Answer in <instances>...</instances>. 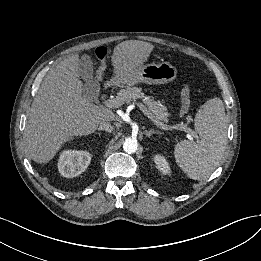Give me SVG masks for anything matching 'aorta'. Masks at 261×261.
<instances>
[{
  "label": "aorta",
  "mask_w": 261,
  "mask_h": 261,
  "mask_svg": "<svg viewBox=\"0 0 261 261\" xmlns=\"http://www.w3.org/2000/svg\"><path fill=\"white\" fill-rule=\"evenodd\" d=\"M138 143L133 138H127L123 143V149L126 153L131 154L137 151Z\"/></svg>",
  "instance_id": "1"
}]
</instances>
